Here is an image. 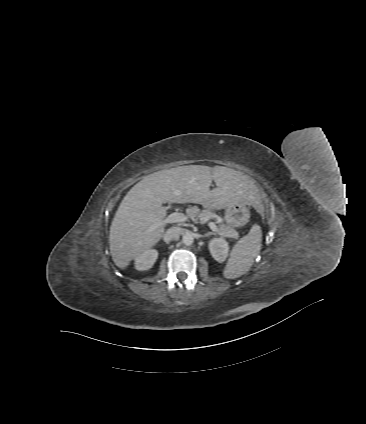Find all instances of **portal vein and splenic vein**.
Returning <instances> with one entry per match:
<instances>
[{
    "label": "portal vein and splenic vein",
    "instance_id": "portal-vein-and-splenic-vein-1",
    "mask_svg": "<svg viewBox=\"0 0 366 424\" xmlns=\"http://www.w3.org/2000/svg\"><path fill=\"white\" fill-rule=\"evenodd\" d=\"M189 219L188 215H185L184 213H178V212H174L169 214L166 219H164L161 223L162 224H167V223H178V222H184L187 221ZM208 226L210 227V229L214 232L218 231V227L216 226V224L214 222H209Z\"/></svg>",
    "mask_w": 366,
    "mask_h": 424
}]
</instances>
